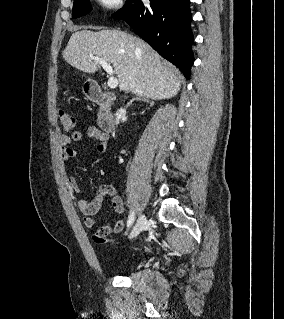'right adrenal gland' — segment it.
<instances>
[{
  "mask_svg": "<svg viewBox=\"0 0 284 319\" xmlns=\"http://www.w3.org/2000/svg\"><path fill=\"white\" fill-rule=\"evenodd\" d=\"M134 101H143V102H146L148 104H150V106H153L154 104V101H150L149 99H146L145 97L143 96H138L136 98H133L132 100H130L128 103H127V107L130 106Z\"/></svg>",
  "mask_w": 284,
  "mask_h": 319,
  "instance_id": "1",
  "label": "right adrenal gland"
}]
</instances>
